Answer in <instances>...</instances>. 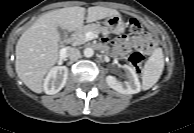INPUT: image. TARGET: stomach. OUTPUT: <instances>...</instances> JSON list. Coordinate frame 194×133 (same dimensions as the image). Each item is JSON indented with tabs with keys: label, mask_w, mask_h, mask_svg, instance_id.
Instances as JSON below:
<instances>
[{
	"label": "stomach",
	"mask_w": 194,
	"mask_h": 133,
	"mask_svg": "<svg viewBox=\"0 0 194 133\" xmlns=\"http://www.w3.org/2000/svg\"><path fill=\"white\" fill-rule=\"evenodd\" d=\"M104 25L106 30L113 34H121L125 31V24L120 15L107 17Z\"/></svg>",
	"instance_id": "0dacf381"
}]
</instances>
